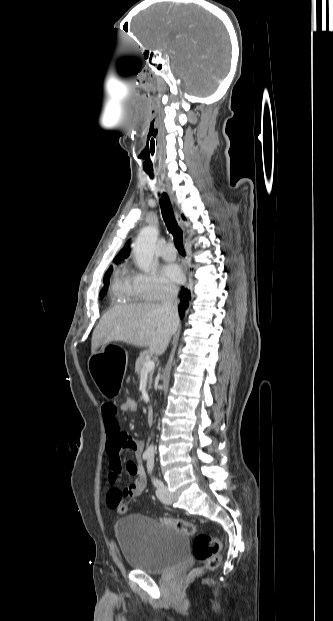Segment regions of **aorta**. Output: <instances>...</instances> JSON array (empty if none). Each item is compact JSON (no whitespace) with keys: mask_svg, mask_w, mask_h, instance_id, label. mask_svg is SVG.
Wrapping results in <instances>:
<instances>
[{"mask_svg":"<svg viewBox=\"0 0 333 621\" xmlns=\"http://www.w3.org/2000/svg\"><path fill=\"white\" fill-rule=\"evenodd\" d=\"M158 234L157 227L149 225L140 231L134 243V254L137 264L144 272H148L150 269ZM154 453L155 447L151 444L147 447L145 454L154 456Z\"/></svg>","mask_w":333,"mask_h":621,"instance_id":"762f6f07","label":"aorta"}]
</instances>
